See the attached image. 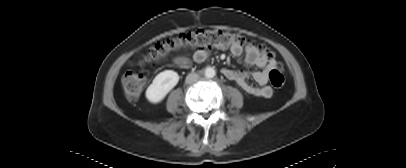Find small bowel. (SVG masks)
I'll use <instances>...</instances> for the list:
<instances>
[{
  "label": "small bowel",
  "mask_w": 406,
  "mask_h": 168,
  "mask_svg": "<svg viewBox=\"0 0 406 168\" xmlns=\"http://www.w3.org/2000/svg\"><path fill=\"white\" fill-rule=\"evenodd\" d=\"M235 57L244 56L243 60L246 65L259 68L255 71H241L225 68L222 74L228 80L237 83L242 90L253 96L269 98L272 96V89L267 85L269 72L277 66L274 59H267L263 56L256 47L247 46L245 50L230 49ZM210 53L207 50H198L193 55V60L197 63L205 61ZM189 59L185 56H179L174 59L177 65H185ZM248 78H252L256 85L248 82Z\"/></svg>",
  "instance_id": "c3829d8e"
}]
</instances>
